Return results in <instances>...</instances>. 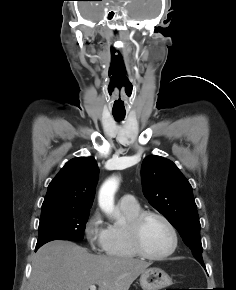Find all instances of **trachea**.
Wrapping results in <instances>:
<instances>
[{"label":"trachea","mask_w":236,"mask_h":290,"mask_svg":"<svg viewBox=\"0 0 236 290\" xmlns=\"http://www.w3.org/2000/svg\"><path fill=\"white\" fill-rule=\"evenodd\" d=\"M116 121H122L125 117V113H113Z\"/></svg>","instance_id":"1"}]
</instances>
